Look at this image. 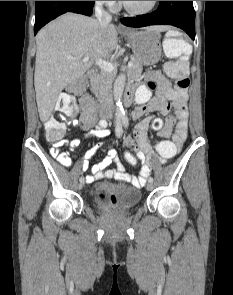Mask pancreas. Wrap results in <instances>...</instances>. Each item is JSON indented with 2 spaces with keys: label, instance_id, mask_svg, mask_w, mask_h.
Returning <instances> with one entry per match:
<instances>
[{
  "label": "pancreas",
  "instance_id": "obj_1",
  "mask_svg": "<svg viewBox=\"0 0 233 295\" xmlns=\"http://www.w3.org/2000/svg\"><path fill=\"white\" fill-rule=\"evenodd\" d=\"M133 65L129 68V72L136 77L141 76L143 65L133 58ZM115 72H108L103 69L90 80L91 91L99 100H104L112 87V82L115 79Z\"/></svg>",
  "mask_w": 233,
  "mask_h": 295
}]
</instances>
